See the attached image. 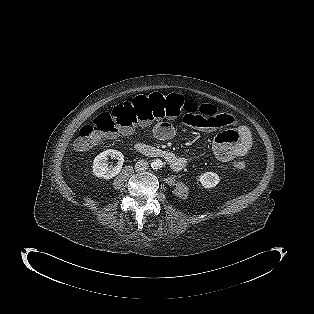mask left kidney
I'll list each match as a JSON object with an SVG mask.
<instances>
[{
  "instance_id": "obj_1",
  "label": "left kidney",
  "mask_w": 314,
  "mask_h": 314,
  "mask_svg": "<svg viewBox=\"0 0 314 314\" xmlns=\"http://www.w3.org/2000/svg\"><path fill=\"white\" fill-rule=\"evenodd\" d=\"M199 181L204 188H214L220 182V177L214 172H205L199 176Z\"/></svg>"
}]
</instances>
